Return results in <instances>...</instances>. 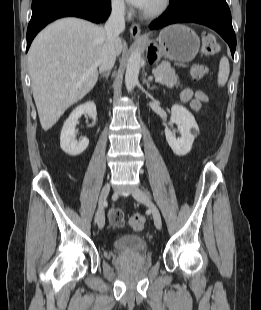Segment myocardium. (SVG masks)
Returning <instances> with one entry per match:
<instances>
[{"instance_id":"myocardium-1","label":"myocardium","mask_w":261,"mask_h":310,"mask_svg":"<svg viewBox=\"0 0 261 310\" xmlns=\"http://www.w3.org/2000/svg\"><path fill=\"white\" fill-rule=\"evenodd\" d=\"M170 4L171 0H158L153 8L142 11V17L146 19L159 17L167 11V9L170 7Z\"/></svg>"}]
</instances>
